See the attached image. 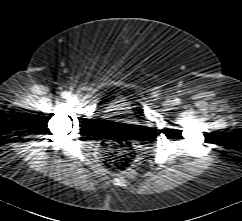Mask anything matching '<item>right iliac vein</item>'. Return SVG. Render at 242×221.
<instances>
[{"label":"right iliac vein","instance_id":"obj_1","mask_svg":"<svg viewBox=\"0 0 242 221\" xmlns=\"http://www.w3.org/2000/svg\"><path fill=\"white\" fill-rule=\"evenodd\" d=\"M71 100H72V101H75V100H76V98H75V97H71Z\"/></svg>","mask_w":242,"mask_h":221}]
</instances>
